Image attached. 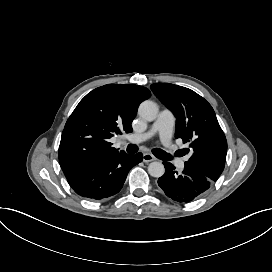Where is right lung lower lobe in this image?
<instances>
[{"instance_id": "right-lung-lower-lobe-1", "label": "right lung lower lobe", "mask_w": 272, "mask_h": 272, "mask_svg": "<svg viewBox=\"0 0 272 272\" xmlns=\"http://www.w3.org/2000/svg\"><path fill=\"white\" fill-rule=\"evenodd\" d=\"M141 161V153L128 155L122 151L111 158L82 163L63 172L78 195L90 200H103L122 189L129 170Z\"/></svg>"}]
</instances>
